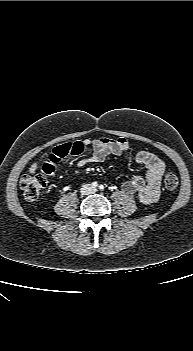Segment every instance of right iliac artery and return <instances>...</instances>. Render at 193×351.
Here are the masks:
<instances>
[{"instance_id":"right-iliac-artery-1","label":"right iliac artery","mask_w":193,"mask_h":351,"mask_svg":"<svg viewBox=\"0 0 193 351\" xmlns=\"http://www.w3.org/2000/svg\"><path fill=\"white\" fill-rule=\"evenodd\" d=\"M92 186H93L94 188H96V187L98 186V183L95 181V182L92 183Z\"/></svg>"}]
</instances>
